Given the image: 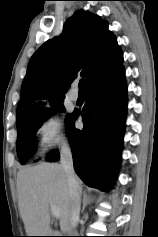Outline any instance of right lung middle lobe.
<instances>
[{"mask_svg":"<svg viewBox=\"0 0 158 237\" xmlns=\"http://www.w3.org/2000/svg\"><path fill=\"white\" fill-rule=\"evenodd\" d=\"M51 106V108L46 107L36 115L17 119L18 140L16 141V147L21 164H25L35 154L38 144L36 134L42 123L56 110L65 112L63 100L53 102ZM69 117L70 115H67L66 120Z\"/></svg>","mask_w":158,"mask_h":237,"instance_id":"right-lung-middle-lobe-1","label":"right lung middle lobe"}]
</instances>
